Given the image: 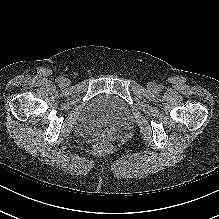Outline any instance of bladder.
<instances>
[{"label": "bladder", "instance_id": "1", "mask_svg": "<svg viewBox=\"0 0 219 219\" xmlns=\"http://www.w3.org/2000/svg\"><path fill=\"white\" fill-rule=\"evenodd\" d=\"M130 114L129 106L121 99L102 94L83 107L78 129L86 136H107L126 124Z\"/></svg>", "mask_w": 219, "mask_h": 219}]
</instances>
